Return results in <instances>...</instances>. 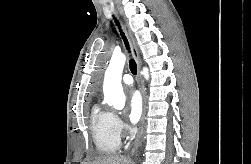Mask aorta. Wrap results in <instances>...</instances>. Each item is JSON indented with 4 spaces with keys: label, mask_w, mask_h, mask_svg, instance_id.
<instances>
[{
    "label": "aorta",
    "mask_w": 251,
    "mask_h": 164,
    "mask_svg": "<svg viewBox=\"0 0 251 164\" xmlns=\"http://www.w3.org/2000/svg\"><path fill=\"white\" fill-rule=\"evenodd\" d=\"M126 62L124 54H114L105 72L103 92L104 99L108 105L115 109H122L125 105V96L121 84L122 72ZM142 75L149 79L147 68H143Z\"/></svg>",
    "instance_id": "obj_1"
}]
</instances>
